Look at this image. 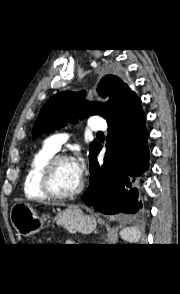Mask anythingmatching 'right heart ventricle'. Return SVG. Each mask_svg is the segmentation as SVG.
<instances>
[{"label": "right heart ventricle", "instance_id": "obj_1", "mask_svg": "<svg viewBox=\"0 0 180 294\" xmlns=\"http://www.w3.org/2000/svg\"><path fill=\"white\" fill-rule=\"evenodd\" d=\"M55 155L56 151L46 145L33 155L23 182V190L27 197L36 200L48 199L40 187V172L45 164Z\"/></svg>", "mask_w": 180, "mask_h": 294}]
</instances>
